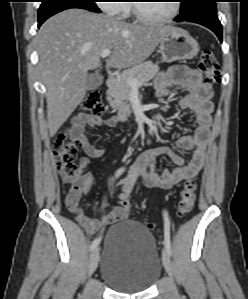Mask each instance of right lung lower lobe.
<instances>
[{"label":"right lung lower lobe","mask_w":248,"mask_h":299,"mask_svg":"<svg viewBox=\"0 0 248 299\" xmlns=\"http://www.w3.org/2000/svg\"><path fill=\"white\" fill-rule=\"evenodd\" d=\"M64 10H65V9H64ZM60 11H63V10H60ZM60 11L54 12V13H52V14H49V15H47L46 17H44V18H42V19H38V27H40L41 24H42L46 19H48L49 17H51L52 15H54V14L60 12Z\"/></svg>","instance_id":"1"}]
</instances>
